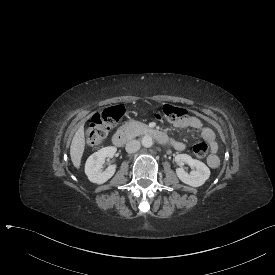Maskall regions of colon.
Segmentation results:
<instances>
[{
  "label": "colon",
  "mask_w": 275,
  "mask_h": 275,
  "mask_svg": "<svg viewBox=\"0 0 275 275\" xmlns=\"http://www.w3.org/2000/svg\"><path fill=\"white\" fill-rule=\"evenodd\" d=\"M122 104L108 106L92 116L85 128V137L87 144L92 148H98L102 145L108 130L115 123L119 122L124 114ZM187 109L174 106L172 104H164L160 110L153 112L152 116L158 121L175 122L187 116ZM209 145L204 142H198L193 147L196 157L204 158L208 154Z\"/></svg>",
  "instance_id": "5ec220e1"
}]
</instances>
